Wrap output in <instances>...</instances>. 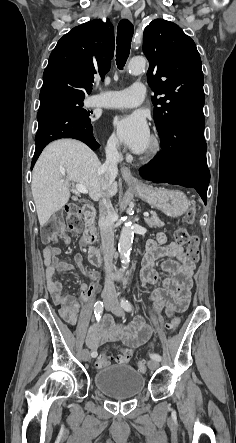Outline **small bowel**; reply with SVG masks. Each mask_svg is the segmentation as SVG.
Returning a JSON list of instances; mask_svg holds the SVG:
<instances>
[{
  "instance_id": "obj_1",
  "label": "small bowel",
  "mask_w": 236,
  "mask_h": 443,
  "mask_svg": "<svg viewBox=\"0 0 236 443\" xmlns=\"http://www.w3.org/2000/svg\"><path fill=\"white\" fill-rule=\"evenodd\" d=\"M63 242L69 245L71 243L70 237L65 235ZM165 243L166 237L162 233L158 234L156 241H148L140 279L143 284H155L162 280V287L152 291L149 299L154 306L155 315L164 310L168 316H171L175 312H184L189 305L195 265L184 253L181 245L174 242L169 245H165ZM59 255L60 249L57 247H46L43 251L47 287L54 302L59 306L61 315L67 322L74 325L80 299L88 298L97 289V284L80 283V296L67 295L55 275L70 272L74 266L61 260ZM159 258H164L162 269L173 273V277L161 279L156 270V261ZM74 259L83 274L95 282L98 281V274L84 266L81 254L77 253ZM151 333V328L145 324L142 317H137L129 327L122 329L114 323L110 314H104L90 327L87 334V345L91 350L96 351L102 344L122 342L130 349H135L145 344Z\"/></svg>"
}]
</instances>
